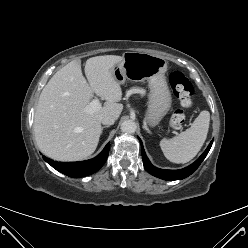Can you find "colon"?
Wrapping results in <instances>:
<instances>
[{"label":"colon","mask_w":248,"mask_h":248,"mask_svg":"<svg viewBox=\"0 0 248 248\" xmlns=\"http://www.w3.org/2000/svg\"><path fill=\"white\" fill-rule=\"evenodd\" d=\"M169 79L180 105V108L175 111L170 122L172 127H177L184 122L185 114L183 109L192 108L194 105L192 98L194 88L188 78L180 71H173Z\"/></svg>","instance_id":"obj_1"}]
</instances>
